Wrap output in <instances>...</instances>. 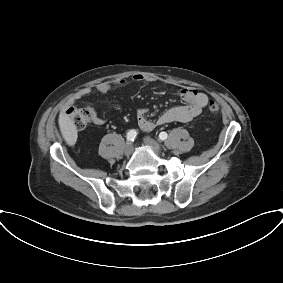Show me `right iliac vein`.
<instances>
[{"label":"right iliac vein","instance_id":"63e3f726","mask_svg":"<svg viewBox=\"0 0 283 283\" xmlns=\"http://www.w3.org/2000/svg\"><path fill=\"white\" fill-rule=\"evenodd\" d=\"M132 150H133L132 144H131V143H128V144H126L125 147H124V154H125L126 156H130L131 153H132Z\"/></svg>","mask_w":283,"mask_h":283}]
</instances>
